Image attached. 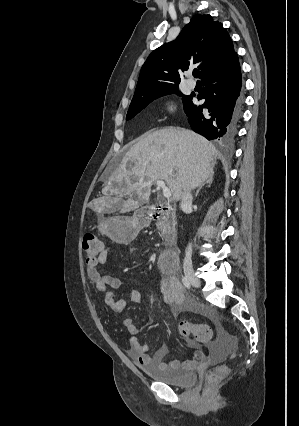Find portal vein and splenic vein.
I'll return each mask as SVG.
<instances>
[{
  "label": "portal vein and splenic vein",
  "mask_w": 299,
  "mask_h": 426,
  "mask_svg": "<svg viewBox=\"0 0 299 426\" xmlns=\"http://www.w3.org/2000/svg\"><path fill=\"white\" fill-rule=\"evenodd\" d=\"M155 184L157 185V187L158 188H161L162 189V192H163V196L165 197V198H167V199H169L170 197H171V191H170V189L166 186V184H165V182L164 181H162V180H157L156 182H155Z\"/></svg>",
  "instance_id": "obj_1"
}]
</instances>
